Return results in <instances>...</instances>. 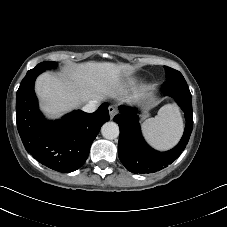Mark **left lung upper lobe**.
Listing matches in <instances>:
<instances>
[{"mask_svg":"<svg viewBox=\"0 0 227 227\" xmlns=\"http://www.w3.org/2000/svg\"><path fill=\"white\" fill-rule=\"evenodd\" d=\"M165 71H166V81L169 82H186L183 75L170 67L164 66Z\"/></svg>","mask_w":227,"mask_h":227,"instance_id":"1","label":"left lung upper lobe"}]
</instances>
